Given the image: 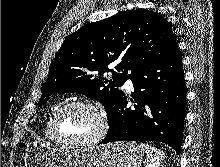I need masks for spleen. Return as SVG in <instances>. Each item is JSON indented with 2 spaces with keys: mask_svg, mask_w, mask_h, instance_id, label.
Masks as SVG:
<instances>
[{
  "mask_svg": "<svg viewBox=\"0 0 220 167\" xmlns=\"http://www.w3.org/2000/svg\"><path fill=\"white\" fill-rule=\"evenodd\" d=\"M140 149L146 153V166L145 167H159L161 160L165 157V154L163 151L148 145L141 143L139 145Z\"/></svg>",
  "mask_w": 220,
  "mask_h": 167,
  "instance_id": "1",
  "label": "spleen"
}]
</instances>
